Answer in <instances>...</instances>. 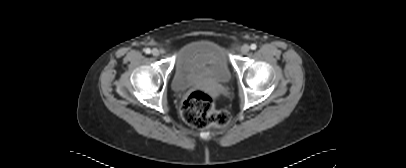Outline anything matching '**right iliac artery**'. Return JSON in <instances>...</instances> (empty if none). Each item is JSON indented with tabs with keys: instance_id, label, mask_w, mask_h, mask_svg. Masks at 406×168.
<instances>
[{
	"instance_id": "82829eb1",
	"label": "right iliac artery",
	"mask_w": 406,
	"mask_h": 168,
	"mask_svg": "<svg viewBox=\"0 0 406 168\" xmlns=\"http://www.w3.org/2000/svg\"><path fill=\"white\" fill-rule=\"evenodd\" d=\"M144 51H145L146 54H150V53H151V50H150L149 48H146Z\"/></svg>"
}]
</instances>
